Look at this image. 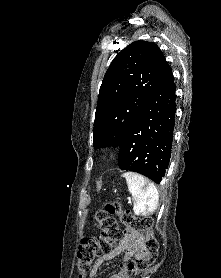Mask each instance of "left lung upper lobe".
I'll return each mask as SVG.
<instances>
[{
	"instance_id": "1",
	"label": "left lung upper lobe",
	"mask_w": 221,
	"mask_h": 278,
	"mask_svg": "<svg viewBox=\"0 0 221 278\" xmlns=\"http://www.w3.org/2000/svg\"><path fill=\"white\" fill-rule=\"evenodd\" d=\"M168 66L158 46L136 41L121 50L102 81L93 146H120Z\"/></svg>"
}]
</instances>
